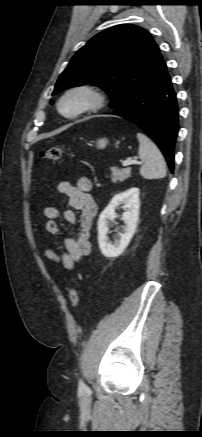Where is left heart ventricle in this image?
<instances>
[{
	"label": "left heart ventricle",
	"mask_w": 202,
	"mask_h": 437,
	"mask_svg": "<svg viewBox=\"0 0 202 437\" xmlns=\"http://www.w3.org/2000/svg\"><path fill=\"white\" fill-rule=\"evenodd\" d=\"M84 104V98L80 95H74L68 98L63 104V110L66 113H71L76 111Z\"/></svg>",
	"instance_id": "left-heart-ventricle-1"
}]
</instances>
